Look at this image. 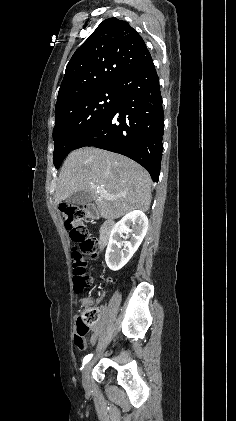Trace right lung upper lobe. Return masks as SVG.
Wrapping results in <instances>:
<instances>
[{
    "label": "right lung upper lobe",
    "instance_id": "1",
    "mask_svg": "<svg viewBox=\"0 0 236 421\" xmlns=\"http://www.w3.org/2000/svg\"><path fill=\"white\" fill-rule=\"evenodd\" d=\"M150 58L144 40L128 22L104 20L70 59L55 109L77 96L116 87Z\"/></svg>",
    "mask_w": 236,
    "mask_h": 421
}]
</instances>
